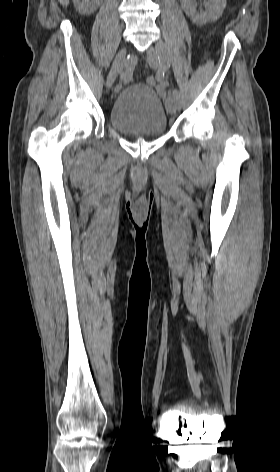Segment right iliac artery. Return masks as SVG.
Wrapping results in <instances>:
<instances>
[{
    "label": "right iliac artery",
    "instance_id": "obj_1",
    "mask_svg": "<svg viewBox=\"0 0 280 472\" xmlns=\"http://www.w3.org/2000/svg\"><path fill=\"white\" fill-rule=\"evenodd\" d=\"M137 64L135 56H128L125 60V70L121 73L120 78L123 82H128L132 79V74Z\"/></svg>",
    "mask_w": 280,
    "mask_h": 472
}]
</instances>
